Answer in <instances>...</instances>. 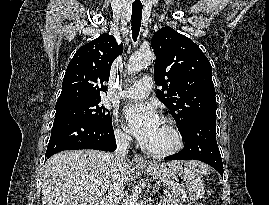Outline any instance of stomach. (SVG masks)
Returning a JSON list of instances; mask_svg holds the SVG:
<instances>
[{
  "label": "stomach",
  "instance_id": "obj_1",
  "mask_svg": "<svg viewBox=\"0 0 269 205\" xmlns=\"http://www.w3.org/2000/svg\"><path fill=\"white\" fill-rule=\"evenodd\" d=\"M142 169L151 178L166 183L182 205H190L205 194L202 176L187 162L174 161L160 165L150 163Z\"/></svg>",
  "mask_w": 269,
  "mask_h": 205
}]
</instances>
